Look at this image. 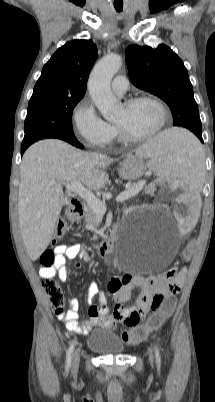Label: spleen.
<instances>
[{
	"mask_svg": "<svg viewBox=\"0 0 215 402\" xmlns=\"http://www.w3.org/2000/svg\"><path fill=\"white\" fill-rule=\"evenodd\" d=\"M203 144L190 128H165L142 145L137 155L149 157L147 167L161 178L184 179L187 184L203 182Z\"/></svg>",
	"mask_w": 215,
	"mask_h": 402,
	"instance_id": "spleen-1",
	"label": "spleen"
}]
</instances>
